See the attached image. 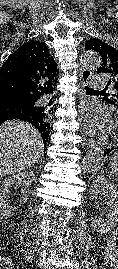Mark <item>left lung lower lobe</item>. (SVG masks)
I'll return each mask as SVG.
<instances>
[{
    "label": "left lung lower lobe",
    "mask_w": 118,
    "mask_h": 269,
    "mask_svg": "<svg viewBox=\"0 0 118 269\" xmlns=\"http://www.w3.org/2000/svg\"><path fill=\"white\" fill-rule=\"evenodd\" d=\"M115 149H116V148H115ZM110 151H111V149H107V150L104 152V155H107Z\"/></svg>",
    "instance_id": "1"
}]
</instances>
